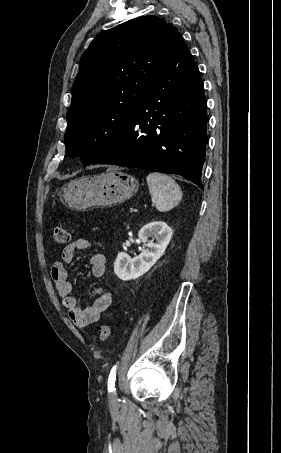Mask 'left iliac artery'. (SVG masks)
I'll list each match as a JSON object with an SVG mask.
<instances>
[{
	"label": "left iliac artery",
	"instance_id": "44dca946",
	"mask_svg": "<svg viewBox=\"0 0 281 453\" xmlns=\"http://www.w3.org/2000/svg\"><path fill=\"white\" fill-rule=\"evenodd\" d=\"M115 380H116V365L111 369L109 378H108V391H115Z\"/></svg>",
	"mask_w": 281,
	"mask_h": 453
}]
</instances>
